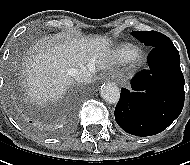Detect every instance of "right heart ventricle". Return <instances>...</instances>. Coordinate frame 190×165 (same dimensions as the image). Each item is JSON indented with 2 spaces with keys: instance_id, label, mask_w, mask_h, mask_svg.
Segmentation results:
<instances>
[{
  "instance_id": "e07e8e85",
  "label": "right heart ventricle",
  "mask_w": 190,
  "mask_h": 165,
  "mask_svg": "<svg viewBox=\"0 0 190 165\" xmlns=\"http://www.w3.org/2000/svg\"><path fill=\"white\" fill-rule=\"evenodd\" d=\"M137 52V48L129 43L120 44L115 50V56L120 61H128Z\"/></svg>"
}]
</instances>
